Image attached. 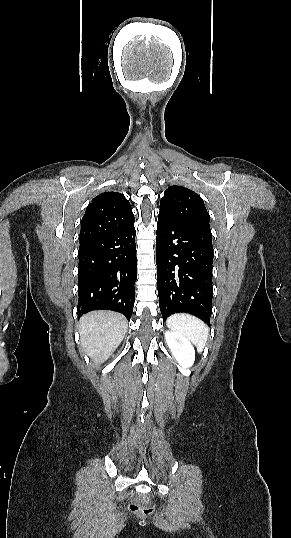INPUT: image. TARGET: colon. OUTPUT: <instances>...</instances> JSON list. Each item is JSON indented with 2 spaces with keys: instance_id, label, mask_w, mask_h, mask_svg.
Instances as JSON below:
<instances>
[{
  "instance_id": "colon-1",
  "label": "colon",
  "mask_w": 291,
  "mask_h": 538,
  "mask_svg": "<svg viewBox=\"0 0 291 538\" xmlns=\"http://www.w3.org/2000/svg\"><path fill=\"white\" fill-rule=\"evenodd\" d=\"M130 509L132 512L144 517L150 515L153 511L152 507L148 504L147 499L144 497H139L133 500Z\"/></svg>"
}]
</instances>
